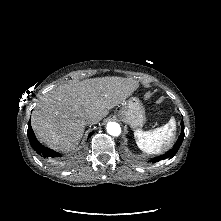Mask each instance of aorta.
I'll use <instances>...</instances> for the list:
<instances>
[{
	"label": "aorta",
	"instance_id": "aorta-1",
	"mask_svg": "<svg viewBox=\"0 0 221 221\" xmlns=\"http://www.w3.org/2000/svg\"><path fill=\"white\" fill-rule=\"evenodd\" d=\"M107 132L112 136H119L121 133V127L116 122H109L106 126Z\"/></svg>",
	"mask_w": 221,
	"mask_h": 221
}]
</instances>
